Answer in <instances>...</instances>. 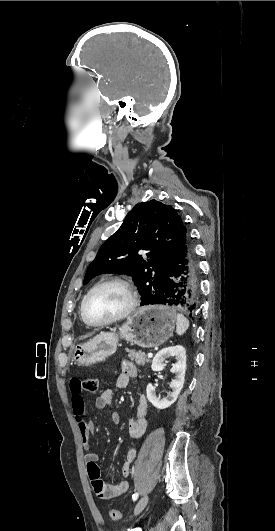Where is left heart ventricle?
I'll list each match as a JSON object with an SVG mask.
<instances>
[{"label": "left heart ventricle", "instance_id": "b2bd125f", "mask_svg": "<svg viewBox=\"0 0 275 531\" xmlns=\"http://www.w3.org/2000/svg\"><path fill=\"white\" fill-rule=\"evenodd\" d=\"M126 290L115 284L106 285L93 292L85 302L84 314L91 322L108 320L122 313L128 306Z\"/></svg>", "mask_w": 275, "mask_h": 531}]
</instances>
